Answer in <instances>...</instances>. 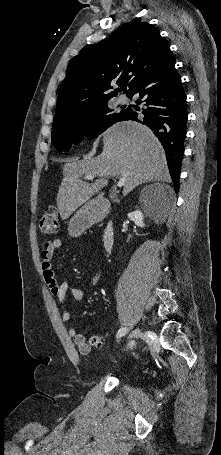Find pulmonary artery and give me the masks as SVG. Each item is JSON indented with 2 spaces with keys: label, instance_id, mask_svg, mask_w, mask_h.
<instances>
[{
  "label": "pulmonary artery",
  "instance_id": "1",
  "mask_svg": "<svg viewBox=\"0 0 221 455\" xmlns=\"http://www.w3.org/2000/svg\"><path fill=\"white\" fill-rule=\"evenodd\" d=\"M119 102H121V103H127V102H128V99H127L126 96H120V97H119Z\"/></svg>",
  "mask_w": 221,
  "mask_h": 455
}]
</instances>
